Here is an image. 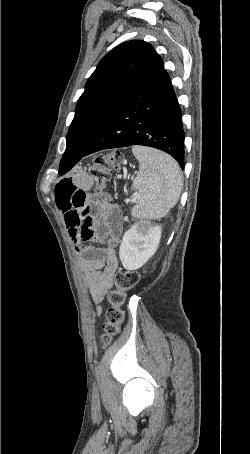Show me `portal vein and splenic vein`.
Listing matches in <instances>:
<instances>
[{"instance_id":"obj_1","label":"portal vein and splenic vein","mask_w":250,"mask_h":454,"mask_svg":"<svg viewBox=\"0 0 250 454\" xmlns=\"http://www.w3.org/2000/svg\"><path fill=\"white\" fill-rule=\"evenodd\" d=\"M129 201H131V202L135 203V202H136V198L134 197V198H132V199H131V200H129Z\"/></svg>"}]
</instances>
